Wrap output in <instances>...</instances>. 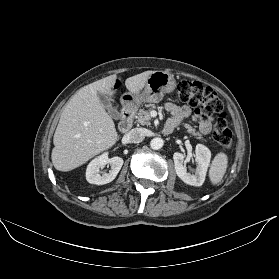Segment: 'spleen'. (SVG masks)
I'll return each mask as SVG.
<instances>
[{"label": "spleen", "mask_w": 279, "mask_h": 279, "mask_svg": "<svg viewBox=\"0 0 279 279\" xmlns=\"http://www.w3.org/2000/svg\"><path fill=\"white\" fill-rule=\"evenodd\" d=\"M228 165V157L225 153H218L210 166L209 178L213 185H217L222 179L226 172Z\"/></svg>", "instance_id": "spleen-1"}]
</instances>
